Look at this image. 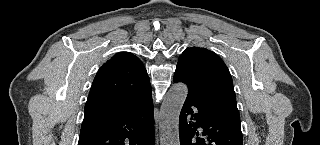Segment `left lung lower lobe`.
Returning a JSON list of instances; mask_svg holds the SVG:
<instances>
[{
  "label": "left lung lower lobe",
  "instance_id": "obj_1",
  "mask_svg": "<svg viewBox=\"0 0 320 145\" xmlns=\"http://www.w3.org/2000/svg\"><path fill=\"white\" fill-rule=\"evenodd\" d=\"M173 80L188 87L179 117L180 145H243L240 123L223 116L212 105L209 82L179 65Z\"/></svg>",
  "mask_w": 320,
  "mask_h": 145
}]
</instances>
